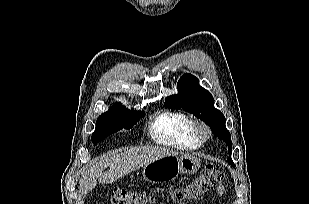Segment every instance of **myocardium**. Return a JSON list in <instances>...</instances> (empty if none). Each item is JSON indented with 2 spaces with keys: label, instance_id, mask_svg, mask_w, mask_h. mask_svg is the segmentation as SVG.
<instances>
[{
  "label": "myocardium",
  "instance_id": "f54148a6",
  "mask_svg": "<svg viewBox=\"0 0 309 204\" xmlns=\"http://www.w3.org/2000/svg\"><path fill=\"white\" fill-rule=\"evenodd\" d=\"M192 131L195 137L200 141H205L211 136V130L209 126L201 120L193 121Z\"/></svg>",
  "mask_w": 309,
  "mask_h": 204
}]
</instances>
